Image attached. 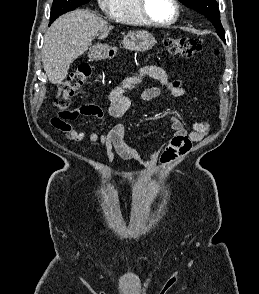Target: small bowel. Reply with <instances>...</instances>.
<instances>
[{
	"label": "small bowel",
	"mask_w": 259,
	"mask_h": 294,
	"mask_svg": "<svg viewBox=\"0 0 259 294\" xmlns=\"http://www.w3.org/2000/svg\"><path fill=\"white\" fill-rule=\"evenodd\" d=\"M144 74H150L158 79L169 93L175 97H181L186 94V90L180 81L169 80L165 72L160 69L149 68L141 73V75ZM137 80L136 78L131 79L122 86L115 88L110 94V103L106 109L93 101L77 108L72 117H64L59 113L50 120V125L54 129L61 131L63 138L67 141L89 142L91 144L99 142L106 151L108 162H112L115 155H118L125 160H135L144 167L154 165L158 160L164 164L175 160L177 157L187 153L193 142L201 141L209 134L210 121L203 108H200L202 120L196 122L190 132L186 130L183 122L178 117H172L171 128L174 132L173 138L166 145L152 150L148 154V159H145L136 148L129 146L125 142V127L122 123L113 125L103 134L93 132L88 136L70 124V120H74L79 116H91L101 121L104 120L105 114L113 118H119L130 106V100L125 96V92L132 89ZM159 95V88L150 87L141 91L140 99L149 101L157 98Z\"/></svg>",
	"instance_id": "1"
}]
</instances>
